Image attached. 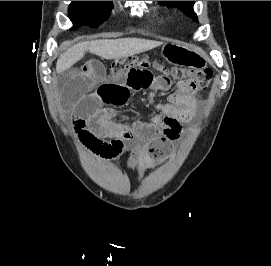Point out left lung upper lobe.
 I'll return each instance as SVG.
<instances>
[{
    "label": "left lung upper lobe",
    "mask_w": 271,
    "mask_h": 266,
    "mask_svg": "<svg viewBox=\"0 0 271 266\" xmlns=\"http://www.w3.org/2000/svg\"><path fill=\"white\" fill-rule=\"evenodd\" d=\"M165 5L171 7H178L183 11L185 15L192 18L195 21H198L196 14L193 11V5L195 1H161Z\"/></svg>",
    "instance_id": "5c2ea615"
}]
</instances>
